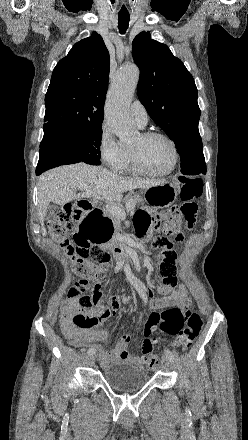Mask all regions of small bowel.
Segmentation results:
<instances>
[{
  "instance_id": "1",
  "label": "small bowel",
  "mask_w": 248,
  "mask_h": 440,
  "mask_svg": "<svg viewBox=\"0 0 248 440\" xmlns=\"http://www.w3.org/2000/svg\"><path fill=\"white\" fill-rule=\"evenodd\" d=\"M135 228L139 236L146 234L148 231L157 228L158 220L149 212L141 210L135 216ZM174 257H160L154 261V267L157 269L156 276L160 278L159 286L156 291L145 289L139 283L133 282V286L141 297L142 304L147 305L152 310H161L173 306H179L184 310H190V300L186 290L179 287L178 282V266ZM103 279L98 281L99 302L97 310L91 309L81 310L74 304L66 301L60 307V327L69 340V343L75 347L91 346L98 351L99 362L101 366L106 367L117 361H127L137 366H143L146 363L145 358L136 356L128 351L130 342L129 335H122L113 350H106L101 343L108 339V333L98 327L107 319L115 315L119 308L116 299H112L109 303H104L101 292V282L109 281V273L105 271ZM147 287L152 288L155 285L154 280L149 279L146 282ZM179 287V288H177ZM177 288V289H175ZM175 289V290H174ZM156 292L163 296H157ZM82 312L91 320V324L87 327H78L73 321L75 313Z\"/></svg>"
}]
</instances>
